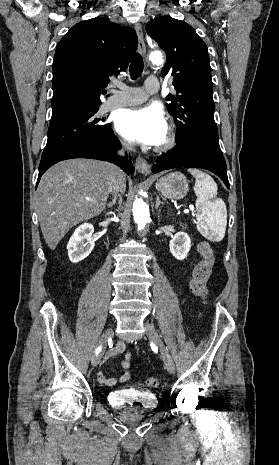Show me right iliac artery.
<instances>
[{
	"mask_svg": "<svg viewBox=\"0 0 279 465\" xmlns=\"http://www.w3.org/2000/svg\"><path fill=\"white\" fill-rule=\"evenodd\" d=\"M100 351H101V347H98V348L96 349V353H99Z\"/></svg>",
	"mask_w": 279,
	"mask_h": 465,
	"instance_id": "right-iliac-artery-1",
	"label": "right iliac artery"
}]
</instances>
